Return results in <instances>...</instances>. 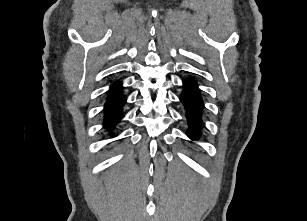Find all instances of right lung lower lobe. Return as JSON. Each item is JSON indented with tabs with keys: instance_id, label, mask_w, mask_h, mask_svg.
Wrapping results in <instances>:
<instances>
[{
	"instance_id": "obj_1",
	"label": "right lung lower lobe",
	"mask_w": 307,
	"mask_h": 221,
	"mask_svg": "<svg viewBox=\"0 0 307 221\" xmlns=\"http://www.w3.org/2000/svg\"><path fill=\"white\" fill-rule=\"evenodd\" d=\"M121 89V84L117 83L108 91L104 113V125L108 130H111L121 119V110L126 102L124 95L120 92Z\"/></svg>"
}]
</instances>
